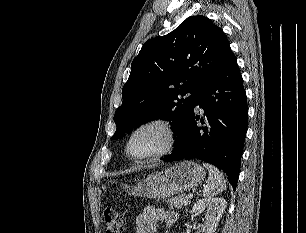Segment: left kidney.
Listing matches in <instances>:
<instances>
[{
  "mask_svg": "<svg viewBox=\"0 0 306 233\" xmlns=\"http://www.w3.org/2000/svg\"><path fill=\"white\" fill-rule=\"evenodd\" d=\"M227 202L224 198H205L198 200L192 207V214H199L205 211L203 224L199 225L196 233H214L222 214L225 211Z\"/></svg>",
  "mask_w": 306,
  "mask_h": 233,
  "instance_id": "1",
  "label": "left kidney"
}]
</instances>
